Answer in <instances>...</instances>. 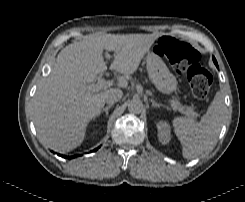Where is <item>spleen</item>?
Returning <instances> with one entry per match:
<instances>
[{"mask_svg":"<svg viewBox=\"0 0 245 202\" xmlns=\"http://www.w3.org/2000/svg\"><path fill=\"white\" fill-rule=\"evenodd\" d=\"M226 106L221 93H217L200 122L187 117H175L174 132L182 145L183 157L193 159L212 149L221 131Z\"/></svg>","mask_w":245,"mask_h":202,"instance_id":"spleen-1","label":"spleen"}]
</instances>
